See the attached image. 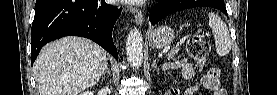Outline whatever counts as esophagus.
<instances>
[{"mask_svg": "<svg viewBox=\"0 0 277 95\" xmlns=\"http://www.w3.org/2000/svg\"><path fill=\"white\" fill-rule=\"evenodd\" d=\"M130 11L132 12L134 19L136 21V23L138 25L142 24L143 22V15L142 12L140 10H138L137 8H130Z\"/></svg>", "mask_w": 277, "mask_h": 95, "instance_id": "34e87169", "label": "esophagus"}]
</instances>
